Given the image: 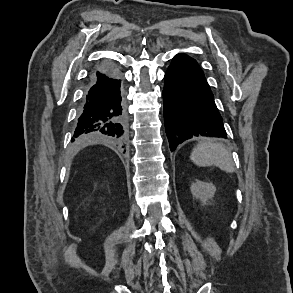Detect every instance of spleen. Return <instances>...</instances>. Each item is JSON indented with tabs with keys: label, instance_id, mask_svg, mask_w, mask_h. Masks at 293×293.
Returning a JSON list of instances; mask_svg holds the SVG:
<instances>
[{
	"label": "spleen",
	"instance_id": "3e777b00",
	"mask_svg": "<svg viewBox=\"0 0 293 293\" xmlns=\"http://www.w3.org/2000/svg\"><path fill=\"white\" fill-rule=\"evenodd\" d=\"M190 159L198 166H217L225 172H234L231 153L222 144L212 140L198 143L193 149Z\"/></svg>",
	"mask_w": 293,
	"mask_h": 293
}]
</instances>
